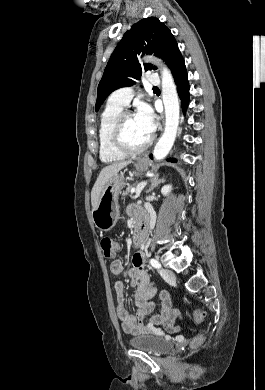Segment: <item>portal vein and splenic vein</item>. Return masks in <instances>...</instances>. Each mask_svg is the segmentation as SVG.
Returning <instances> with one entry per match:
<instances>
[{
    "label": "portal vein and splenic vein",
    "instance_id": "1",
    "mask_svg": "<svg viewBox=\"0 0 265 390\" xmlns=\"http://www.w3.org/2000/svg\"><path fill=\"white\" fill-rule=\"evenodd\" d=\"M147 185V181H143L141 183H139L136 187V189H132L131 192H135L136 195H135V199L138 198L140 196V193L142 192V190L144 189V187Z\"/></svg>",
    "mask_w": 265,
    "mask_h": 390
}]
</instances>
